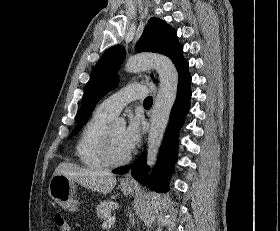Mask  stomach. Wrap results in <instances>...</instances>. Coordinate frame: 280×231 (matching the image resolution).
<instances>
[{
    "label": "stomach",
    "instance_id": "obj_1",
    "mask_svg": "<svg viewBox=\"0 0 280 231\" xmlns=\"http://www.w3.org/2000/svg\"><path fill=\"white\" fill-rule=\"evenodd\" d=\"M49 195L52 199L59 203L63 209H68V211H76L78 209L79 201L75 199V193L77 191V185L75 181H71L66 175H52L49 183ZM121 191L124 195H129L133 193L134 187H123L121 185Z\"/></svg>",
    "mask_w": 280,
    "mask_h": 231
}]
</instances>
